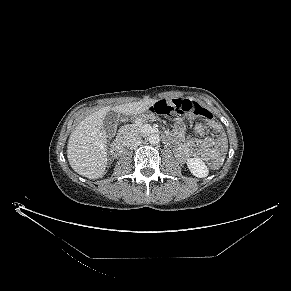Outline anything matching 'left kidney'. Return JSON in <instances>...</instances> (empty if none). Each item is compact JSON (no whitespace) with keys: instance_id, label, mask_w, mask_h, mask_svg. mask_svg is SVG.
<instances>
[{"instance_id":"left-kidney-1","label":"left kidney","mask_w":291,"mask_h":291,"mask_svg":"<svg viewBox=\"0 0 291 291\" xmlns=\"http://www.w3.org/2000/svg\"><path fill=\"white\" fill-rule=\"evenodd\" d=\"M187 166H188L190 172L198 178H204L209 173L207 166L200 158L188 159Z\"/></svg>"}]
</instances>
